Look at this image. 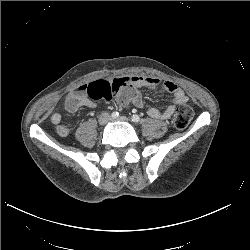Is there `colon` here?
<instances>
[{
    "mask_svg": "<svg viewBox=\"0 0 250 250\" xmlns=\"http://www.w3.org/2000/svg\"><path fill=\"white\" fill-rule=\"evenodd\" d=\"M86 92L92 99L108 101L115 97L117 90L108 80L100 79L88 84ZM130 95L129 91H124L122 93V106L129 103ZM193 116L194 111L190 106L182 105L178 107L173 119L174 126L180 130L186 128L192 121Z\"/></svg>",
    "mask_w": 250,
    "mask_h": 250,
    "instance_id": "5ec220e1",
    "label": "colon"
}]
</instances>
